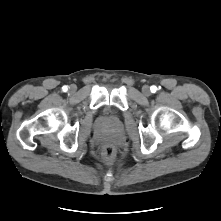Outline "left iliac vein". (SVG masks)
<instances>
[{"label": "left iliac vein", "instance_id": "1", "mask_svg": "<svg viewBox=\"0 0 221 221\" xmlns=\"http://www.w3.org/2000/svg\"><path fill=\"white\" fill-rule=\"evenodd\" d=\"M142 92L145 96H149L151 94L149 86L145 85L142 88Z\"/></svg>", "mask_w": 221, "mask_h": 221}]
</instances>
